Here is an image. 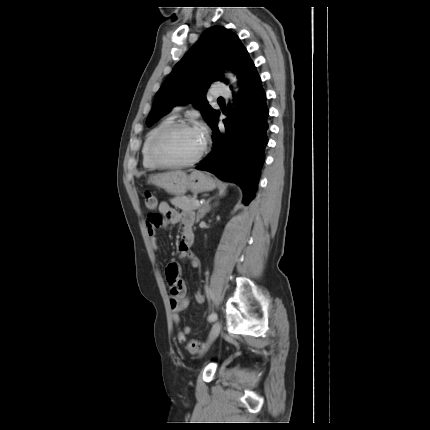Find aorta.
Wrapping results in <instances>:
<instances>
[{
	"instance_id": "1",
	"label": "aorta",
	"mask_w": 430,
	"mask_h": 430,
	"mask_svg": "<svg viewBox=\"0 0 430 430\" xmlns=\"http://www.w3.org/2000/svg\"><path fill=\"white\" fill-rule=\"evenodd\" d=\"M226 76L230 79V81L232 83H235L237 81L236 76L234 74H232V73H227ZM234 86H236V84H234Z\"/></svg>"
}]
</instances>
